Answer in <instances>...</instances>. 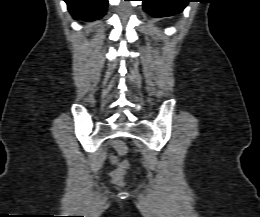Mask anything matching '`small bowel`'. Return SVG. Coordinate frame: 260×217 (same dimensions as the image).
Segmentation results:
<instances>
[{
  "instance_id": "obj_1",
  "label": "small bowel",
  "mask_w": 260,
  "mask_h": 217,
  "mask_svg": "<svg viewBox=\"0 0 260 217\" xmlns=\"http://www.w3.org/2000/svg\"><path fill=\"white\" fill-rule=\"evenodd\" d=\"M111 160H112V162H116V158L113 156V155H111Z\"/></svg>"
}]
</instances>
